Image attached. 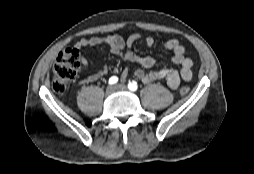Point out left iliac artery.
Segmentation results:
<instances>
[{"label": "left iliac artery", "mask_w": 254, "mask_h": 174, "mask_svg": "<svg viewBox=\"0 0 254 174\" xmlns=\"http://www.w3.org/2000/svg\"><path fill=\"white\" fill-rule=\"evenodd\" d=\"M128 88H129V90H131V91H136L137 88H138V85H137V83H136L135 81H133V82H130V83L128 84Z\"/></svg>", "instance_id": "obj_1"}]
</instances>
